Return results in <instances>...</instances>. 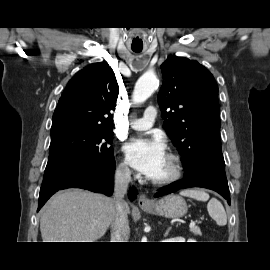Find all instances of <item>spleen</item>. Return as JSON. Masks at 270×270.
Masks as SVG:
<instances>
[{
  "instance_id": "1",
  "label": "spleen",
  "mask_w": 270,
  "mask_h": 270,
  "mask_svg": "<svg viewBox=\"0 0 270 270\" xmlns=\"http://www.w3.org/2000/svg\"><path fill=\"white\" fill-rule=\"evenodd\" d=\"M180 195L193 198L198 201H207L209 194L203 190L187 189L180 192ZM209 215L216 221L219 226L227 224V215L220 201L212 198L207 204Z\"/></svg>"
}]
</instances>
